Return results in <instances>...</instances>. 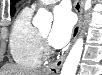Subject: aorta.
Segmentation results:
<instances>
[{
    "label": "aorta",
    "instance_id": "762f6f07",
    "mask_svg": "<svg viewBox=\"0 0 102 75\" xmlns=\"http://www.w3.org/2000/svg\"><path fill=\"white\" fill-rule=\"evenodd\" d=\"M91 6V0H86L84 5L85 10H89ZM52 20V15L44 8H40L33 19V24L38 28L50 27ZM83 44V38H78L63 64L60 75H75L81 59Z\"/></svg>",
    "mask_w": 102,
    "mask_h": 75
}]
</instances>
